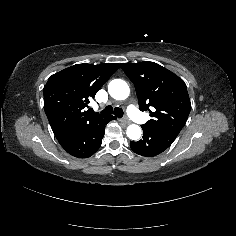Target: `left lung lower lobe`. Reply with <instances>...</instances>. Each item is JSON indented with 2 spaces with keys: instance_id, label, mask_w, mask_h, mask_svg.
<instances>
[{
  "instance_id": "0a47b994",
  "label": "left lung lower lobe",
  "mask_w": 236,
  "mask_h": 236,
  "mask_svg": "<svg viewBox=\"0 0 236 236\" xmlns=\"http://www.w3.org/2000/svg\"><path fill=\"white\" fill-rule=\"evenodd\" d=\"M141 127L143 138L137 142L131 141L130 147L135 153L145 157H153L165 151L179 134L174 131L153 129L146 125Z\"/></svg>"
}]
</instances>
